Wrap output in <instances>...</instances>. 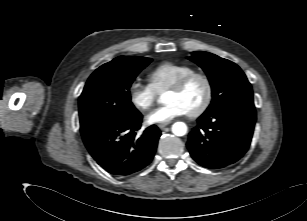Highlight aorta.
I'll list each match as a JSON object with an SVG mask.
<instances>
[{
  "mask_svg": "<svg viewBox=\"0 0 307 221\" xmlns=\"http://www.w3.org/2000/svg\"><path fill=\"white\" fill-rule=\"evenodd\" d=\"M172 132L176 136H184L187 133V126L183 122H176L172 125Z\"/></svg>",
  "mask_w": 307,
  "mask_h": 221,
  "instance_id": "aorta-1",
  "label": "aorta"
}]
</instances>
